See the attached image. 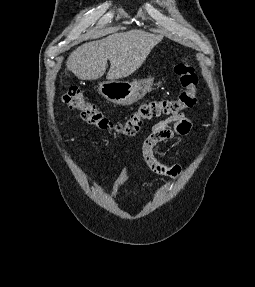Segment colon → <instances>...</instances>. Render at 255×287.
Wrapping results in <instances>:
<instances>
[{"label": "colon", "instance_id": "5ec220e1", "mask_svg": "<svg viewBox=\"0 0 255 287\" xmlns=\"http://www.w3.org/2000/svg\"><path fill=\"white\" fill-rule=\"evenodd\" d=\"M174 72L183 88L175 99L148 101L132 112L123 122H113L107 118L94 103L85 98L83 92L76 86L67 88L63 94V102L70 109L77 110L87 124L101 131L133 136L145 120L161 115H174L196 104L198 78L192 62L186 57L180 59L174 67Z\"/></svg>", "mask_w": 255, "mask_h": 287}]
</instances>
